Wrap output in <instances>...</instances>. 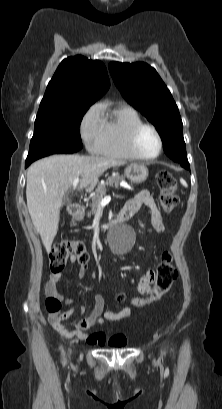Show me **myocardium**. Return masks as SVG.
<instances>
[{
	"mask_svg": "<svg viewBox=\"0 0 222 409\" xmlns=\"http://www.w3.org/2000/svg\"><path fill=\"white\" fill-rule=\"evenodd\" d=\"M144 129H150V130H152V131L155 133V135H156V137H157V139H158L159 149H158V152H157L155 155H153V156H145V155H143V154L140 152L139 148H138L137 140H138V137H139L140 133H141ZM128 145H129V148H130L131 152H132L138 159L144 160V161H150V160H154V159L158 158V157L161 155L162 151H163V139H162V136H161L159 130H158L154 125L148 124V123H141V124L135 126V127L131 130V132H130V134H129V138H128Z\"/></svg>",
	"mask_w": 222,
	"mask_h": 409,
	"instance_id": "1",
	"label": "myocardium"
}]
</instances>
